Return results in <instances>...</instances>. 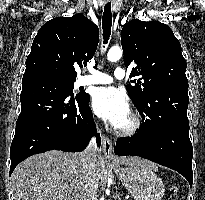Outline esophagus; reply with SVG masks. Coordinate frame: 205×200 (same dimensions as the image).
I'll list each match as a JSON object with an SVG mask.
<instances>
[{
    "label": "esophagus",
    "instance_id": "obj_1",
    "mask_svg": "<svg viewBox=\"0 0 205 200\" xmlns=\"http://www.w3.org/2000/svg\"><path fill=\"white\" fill-rule=\"evenodd\" d=\"M102 150L105 156V159L108 161H114L115 157L112 152V142L109 137L103 136L102 139Z\"/></svg>",
    "mask_w": 205,
    "mask_h": 200
}]
</instances>
